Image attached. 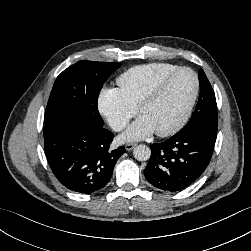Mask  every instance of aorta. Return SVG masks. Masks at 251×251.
<instances>
[{
	"mask_svg": "<svg viewBox=\"0 0 251 251\" xmlns=\"http://www.w3.org/2000/svg\"><path fill=\"white\" fill-rule=\"evenodd\" d=\"M133 155L138 161H147L150 158L151 150L146 145H138L134 148Z\"/></svg>",
	"mask_w": 251,
	"mask_h": 251,
	"instance_id": "1",
	"label": "aorta"
}]
</instances>
